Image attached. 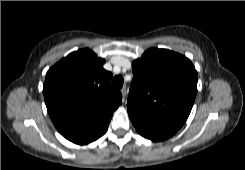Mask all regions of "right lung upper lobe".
<instances>
[{
	"mask_svg": "<svg viewBox=\"0 0 245 170\" xmlns=\"http://www.w3.org/2000/svg\"><path fill=\"white\" fill-rule=\"evenodd\" d=\"M90 49L72 52L47 74L43 86L48 113L57 130L75 144H89L107 131L122 95L112 73Z\"/></svg>",
	"mask_w": 245,
	"mask_h": 170,
	"instance_id": "1",
	"label": "right lung upper lobe"
}]
</instances>
